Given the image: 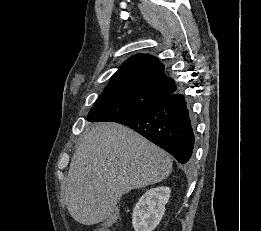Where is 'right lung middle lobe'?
<instances>
[{
	"mask_svg": "<svg viewBox=\"0 0 261 231\" xmlns=\"http://www.w3.org/2000/svg\"><path fill=\"white\" fill-rule=\"evenodd\" d=\"M158 96L137 87L105 90L96 100L87 120L118 121L158 102Z\"/></svg>",
	"mask_w": 261,
	"mask_h": 231,
	"instance_id": "obj_1",
	"label": "right lung middle lobe"
}]
</instances>
